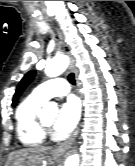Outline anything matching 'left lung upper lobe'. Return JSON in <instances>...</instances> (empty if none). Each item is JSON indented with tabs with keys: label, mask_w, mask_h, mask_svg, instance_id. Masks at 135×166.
Instances as JSON below:
<instances>
[{
	"label": "left lung upper lobe",
	"mask_w": 135,
	"mask_h": 166,
	"mask_svg": "<svg viewBox=\"0 0 135 166\" xmlns=\"http://www.w3.org/2000/svg\"><path fill=\"white\" fill-rule=\"evenodd\" d=\"M35 75H36L35 70H31L20 81L13 97V105L17 102V99L19 98L21 93L24 91V89L27 87V85L34 79Z\"/></svg>",
	"instance_id": "1"
}]
</instances>
